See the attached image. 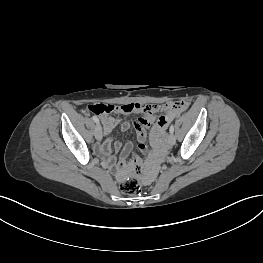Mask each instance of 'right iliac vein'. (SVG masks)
Segmentation results:
<instances>
[{
	"label": "right iliac vein",
	"instance_id": "right-iliac-vein-1",
	"mask_svg": "<svg viewBox=\"0 0 263 263\" xmlns=\"http://www.w3.org/2000/svg\"><path fill=\"white\" fill-rule=\"evenodd\" d=\"M94 135H95V138L97 140L102 139V128H101L100 124L96 125L95 130H94Z\"/></svg>",
	"mask_w": 263,
	"mask_h": 263
}]
</instances>
